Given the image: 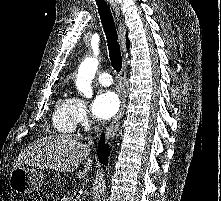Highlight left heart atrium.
I'll return each mask as SVG.
<instances>
[{
  "mask_svg": "<svg viewBox=\"0 0 221 201\" xmlns=\"http://www.w3.org/2000/svg\"><path fill=\"white\" fill-rule=\"evenodd\" d=\"M119 105V98L115 92L100 91L92 104L93 116L98 121H106L117 113Z\"/></svg>",
  "mask_w": 221,
  "mask_h": 201,
  "instance_id": "obj_1",
  "label": "left heart atrium"
}]
</instances>
